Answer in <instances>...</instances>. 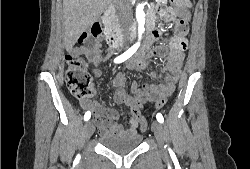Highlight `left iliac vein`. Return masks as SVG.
Instances as JSON below:
<instances>
[{
    "mask_svg": "<svg viewBox=\"0 0 250 169\" xmlns=\"http://www.w3.org/2000/svg\"><path fill=\"white\" fill-rule=\"evenodd\" d=\"M152 130H153L154 135L157 139L159 148L163 149L164 143H165V131H164L163 126L159 122L153 121L152 122Z\"/></svg>",
    "mask_w": 250,
    "mask_h": 169,
    "instance_id": "4c4485c4",
    "label": "left iliac vein"
}]
</instances>
